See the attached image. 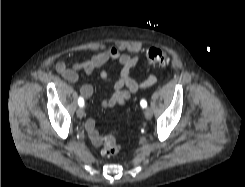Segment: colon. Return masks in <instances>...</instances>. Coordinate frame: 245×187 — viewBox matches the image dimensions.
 <instances>
[{"label":"colon","mask_w":245,"mask_h":187,"mask_svg":"<svg viewBox=\"0 0 245 187\" xmlns=\"http://www.w3.org/2000/svg\"><path fill=\"white\" fill-rule=\"evenodd\" d=\"M146 62L150 66H166L170 62L169 55L156 47H151L146 51ZM120 147L114 135H109L104 139L103 153L107 156H115L119 153Z\"/></svg>","instance_id":"5ec220e1"}]
</instances>
